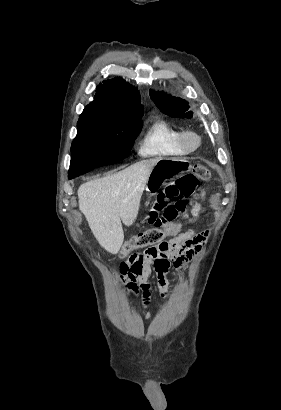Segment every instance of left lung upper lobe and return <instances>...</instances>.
Returning <instances> with one entry per match:
<instances>
[{
    "label": "left lung upper lobe",
    "instance_id": "5c2ea615",
    "mask_svg": "<svg viewBox=\"0 0 281 410\" xmlns=\"http://www.w3.org/2000/svg\"><path fill=\"white\" fill-rule=\"evenodd\" d=\"M149 93L152 101L163 113L175 118L192 117L193 112L187 111L189 106L185 100L152 90Z\"/></svg>",
    "mask_w": 281,
    "mask_h": 410
}]
</instances>
